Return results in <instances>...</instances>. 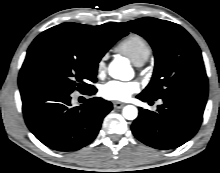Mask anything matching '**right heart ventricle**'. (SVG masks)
<instances>
[{
  "label": "right heart ventricle",
  "instance_id": "e07e8e85",
  "mask_svg": "<svg viewBox=\"0 0 220 173\" xmlns=\"http://www.w3.org/2000/svg\"><path fill=\"white\" fill-rule=\"evenodd\" d=\"M117 50L126 55L134 64L145 62L152 52L149 42L138 34H131L125 38L118 45Z\"/></svg>",
  "mask_w": 220,
  "mask_h": 173
}]
</instances>
